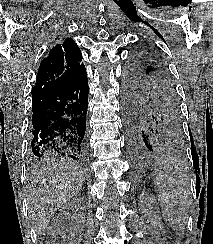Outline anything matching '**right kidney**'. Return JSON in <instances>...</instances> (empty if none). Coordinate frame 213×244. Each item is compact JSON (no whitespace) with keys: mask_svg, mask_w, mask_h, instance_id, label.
Listing matches in <instances>:
<instances>
[{"mask_svg":"<svg viewBox=\"0 0 213 244\" xmlns=\"http://www.w3.org/2000/svg\"><path fill=\"white\" fill-rule=\"evenodd\" d=\"M65 209H68V210H74V209H84L85 208V202H84V199L81 198V197H76V198H73L71 201H69L68 203H66ZM83 222V220H82Z\"/></svg>","mask_w":213,"mask_h":244,"instance_id":"ca27d5eb","label":"right kidney"}]
</instances>
